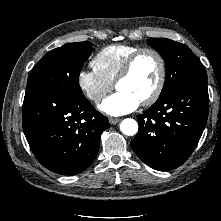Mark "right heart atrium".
I'll return each mask as SVG.
<instances>
[{
    "instance_id": "obj_1",
    "label": "right heart atrium",
    "mask_w": 221,
    "mask_h": 221,
    "mask_svg": "<svg viewBox=\"0 0 221 221\" xmlns=\"http://www.w3.org/2000/svg\"><path fill=\"white\" fill-rule=\"evenodd\" d=\"M81 92L93 103H100L113 89L114 84L94 69H82L77 76Z\"/></svg>"
}]
</instances>
